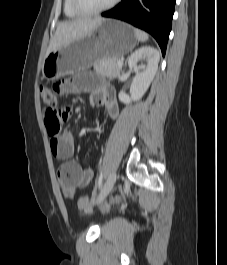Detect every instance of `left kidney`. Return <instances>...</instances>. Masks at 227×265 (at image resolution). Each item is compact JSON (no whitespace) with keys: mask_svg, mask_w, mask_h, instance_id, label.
Listing matches in <instances>:
<instances>
[{"mask_svg":"<svg viewBox=\"0 0 227 265\" xmlns=\"http://www.w3.org/2000/svg\"><path fill=\"white\" fill-rule=\"evenodd\" d=\"M159 52L154 47L144 46L136 50L128 60V66L131 69H139L138 62L146 61V67H141L142 71L138 72L132 81L130 95L120 91L118 97L124 104L137 101L143 97L149 88L158 68Z\"/></svg>","mask_w":227,"mask_h":265,"instance_id":"5707ae66","label":"left kidney"}]
</instances>
